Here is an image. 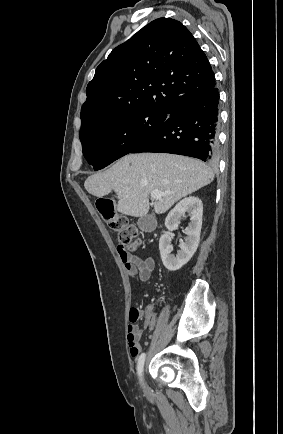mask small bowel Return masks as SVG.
Returning a JSON list of instances; mask_svg holds the SVG:
<instances>
[{
    "label": "small bowel",
    "mask_w": 283,
    "mask_h": 434,
    "mask_svg": "<svg viewBox=\"0 0 283 434\" xmlns=\"http://www.w3.org/2000/svg\"><path fill=\"white\" fill-rule=\"evenodd\" d=\"M120 259L129 276H137L139 281L147 282L156 267V261L153 257L141 259L137 256L127 253L121 246L118 247ZM153 308L147 307L144 311L143 327L147 329L152 327ZM142 337V330L136 324H129L127 329V342L129 352L132 357H137L141 351L140 339Z\"/></svg>",
    "instance_id": "1"
}]
</instances>
